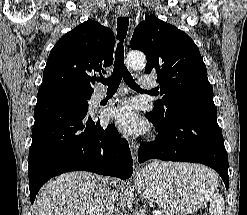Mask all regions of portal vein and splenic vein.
I'll return each instance as SVG.
<instances>
[{"instance_id": "18ae733b", "label": "portal vein and splenic vein", "mask_w": 247, "mask_h": 215, "mask_svg": "<svg viewBox=\"0 0 247 215\" xmlns=\"http://www.w3.org/2000/svg\"><path fill=\"white\" fill-rule=\"evenodd\" d=\"M152 214H153V215H161V212L156 211V210H153V211H152Z\"/></svg>"}]
</instances>
